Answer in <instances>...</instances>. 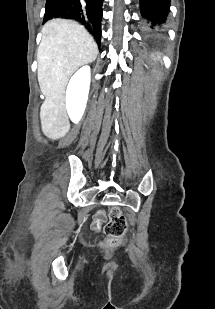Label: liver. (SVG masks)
<instances>
[{"label":"liver","instance_id":"liver-1","mask_svg":"<svg viewBox=\"0 0 215 309\" xmlns=\"http://www.w3.org/2000/svg\"><path fill=\"white\" fill-rule=\"evenodd\" d=\"M41 32L37 70L41 92L46 96L40 110L41 126L49 138H61L70 128L64 104L66 84L79 66L95 60L98 46L75 20L52 18Z\"/></svg>","mask_w":215,"mask_h":309}]
</instances>
